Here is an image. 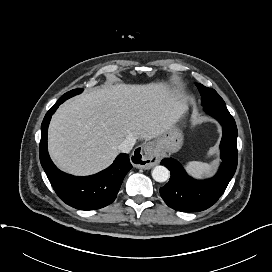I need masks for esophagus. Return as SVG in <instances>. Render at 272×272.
Here are the masks:
<instances>
[{
	"label": "esophagus",
	"mask_w": 272,
	"mask_h": 272,
	"mask_svg": "<svg viewBox=\"0 0 272 272\" xmlns=\"http://www.w3.org/2000/svg\"><path fill=\"white\" fill-rule=\"evenodd\" d=\"M134 166L142 169H150L160 160V154L154 143H145L141 148H137L132 156Z\"/></svg>",
	"instance_id": "esophagus-1"
}]
</instances>
